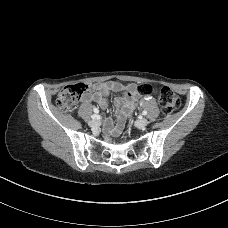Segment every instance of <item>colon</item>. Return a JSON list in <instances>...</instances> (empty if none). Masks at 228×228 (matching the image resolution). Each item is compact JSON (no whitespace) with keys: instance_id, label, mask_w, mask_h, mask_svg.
Masks as SVG:
<instances>
[{"instance_id":"obj_1","label":"colon","mask_w":228,"mask_h":228,"mask_svg":"<svg viewBox=\"0 0 228 228\" xmlns=\"http://www.w3.org/2000/svg\"><path fill=\"white\" fill-rule=\"evenodd\" d=\"M88 91L85 83H75L65 86L58 94L57 105L63 112H70L77 104L78 100ZM140 95L147 96L152 92L149 84H141L137 87ZM161 111L165 115H170L180 107V100L168 87L156 89Z\"/></svg>"}]
</instances>
